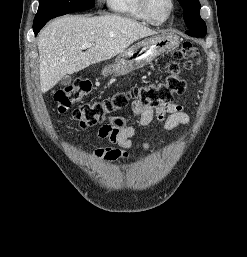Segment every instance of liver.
Returning <instances> with one entry per match:
<instances>
[{
    "label": "liver",
    "mask_w": 247,
    "mask_h": 257,
    "mask_svg": "<svg viewBox=\"0 0 247 257\" xmlns=\"http://www.w3.org/2000/svg\"><path fill=\"white\" fill-rule=\"evenodd\" d=\"M154 34L137 21L118 15H75L53 20L38 39L41 91L46 93L65 75L111 59L135 41ZM86 42L93 45L83 52Z\"/></svg>",
    "instance_id": "liver-1"
}]
</instances>
